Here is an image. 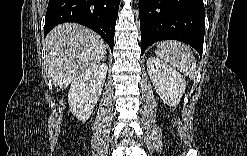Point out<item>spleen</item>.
I'll return each mask as SVG.
<instances>
[{
    "instance_id": "spleen-1",
    "label": "spleen",
    "mask_w": 247,
    "mask_h": 156,
    "mask_svg": "<svg viewBox=\"0 0 247 156\" xmlns=\"http://www.w3.org/2000/svg\"><path fill=\"white\" fill-rule=\"evenodd\" d=\"M155 53L191 80L196 79L197 65L193 52L188 45L173 40L162 41L158 43Z\"/></svg>"
}]
</instances>
